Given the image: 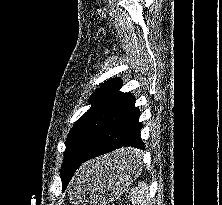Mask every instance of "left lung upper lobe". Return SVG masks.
Segmentation results:
<instances>
[{
    "mask_svg": "<svg viewBox=\"0 0 222 205\" xmlns=\"http://www.w3.org/2000/svg\"><path fill=\"white\" fill-rule=\"evenodd\" d=\"M121 86L120 78L104 83L91 95L89 99L91 108L70 130L65 142L66 150L61 169L62 185L71 178L69 162L87 154L109 113L125 94L119 91Z\"/></svg>",
    "mask_w": 222,
    "mask_h": 205,
    "instance_id": "5c2ea615",
    "label": "left lung upper lobe"
}]
</instances>
